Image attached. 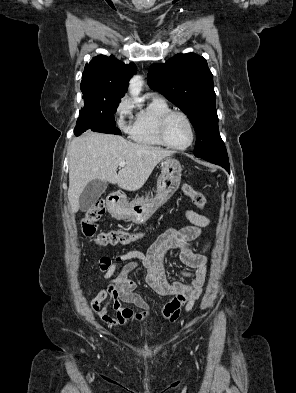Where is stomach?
Segmentation results:
<instances>
[{"label": "stomach", "mask_w": 296, "mask_h": 393, "mask_svg": "<svg viewBox=\"0 0 296 393\" xmlns=\"http://www.w3.org/2000/svg\"><path fill=\"white\" fill-rule=\"evenodd\" d=\"M161 166L156 196L153 199L141 197L131 202H118L114 209L115 217L141 224L170 199L180 186L182 166L178 160L173 158H166Z\"/></svg>", "instance_id": "1"}]
</instances>
